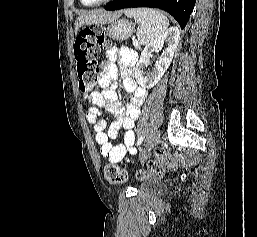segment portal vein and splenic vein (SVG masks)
<instances>
[{
	"mask_svg": "<svg viewBox=\"0 0 257 237\" xmlns=\"http://www.w3.org/2000/svg\"><path fill=\"white\" fill-rule=\"evenodd\" d=\"M133 45L136 47V46H138L139 44H138V41L137 40H133Z\"/></svg>",
	"mask_w": 257,
	"mask_h": 237,
	"instance_id": "18ae733b",
	"label": "portal vein and splenic vein"
}]
</instances>
